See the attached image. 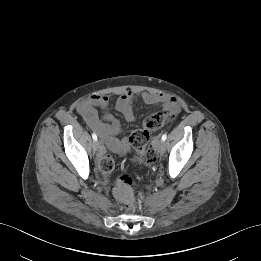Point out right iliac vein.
Here are the masks:
<instances>
[{"label": "right iliac vein", "instance_id": "63e3f726", "mask_svg": "<svg viewBox=\"0 0 261 261\" xmlns=\"http://www.w3.org/2000/svg\"><path fill=\"white\" fill-rule=\"evenodd\" d=\"M92 147H93V150L96 152L100 148V143L98 141H94Z\"/></svg>", "mask_w": 261, "mask_h": 261}]
</instances>
